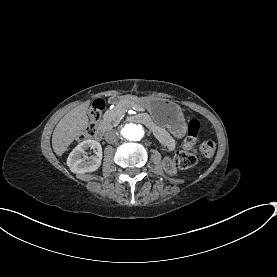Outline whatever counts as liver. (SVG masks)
<instances>
[{
	"label": "liver",
	"mask_w": 277,
	"mask_h": 277,
	"mask_svg": "<svg viewBox=\"0 0 277 277\" xmlns=\"http://www.w3.org/2000/svg\"><path fill=\"white\" fill-rule=\"evenodd\" d=\"M90 103L87 100L71 109L56 125L52 134V147L58 157H62L69 145L87 129Z\"/></svg>",
	"instance_id": "liver-1"
}]
</instances>
